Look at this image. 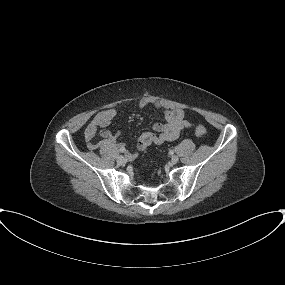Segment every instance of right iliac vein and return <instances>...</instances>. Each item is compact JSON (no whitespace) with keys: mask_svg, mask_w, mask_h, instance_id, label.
Instances as JSON below:
<instances>
[{"mask_svg":"<svg viewBox=\"0 0 285 285\" xmlns=\"http://www.w3.org/2000/svg\"><path fill=\"white\" fill-rule=\"evenodd\" d=\"M126 161H127V158L124 157V156H119V157L117 158V162H118L120 165L126 163Z\"/></svg>","mask_w":285,"mask_h":285,"instance_id":"1","label":"right iliac vein"}]
</instances>
